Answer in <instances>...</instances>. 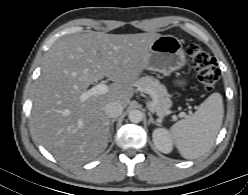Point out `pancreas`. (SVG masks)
<instances>
[{
    "mask_svg": "<svg viewBox=\"0 0 248 195\" xmlns=\"http://www.w3.org/2000/svg\"><path fill=\"white\" fill-rule=\"evenodd\" d=\"M134 85L152 98V102L149 105L152 113L159 117H163L168 113L169 108L172 106V101L165 86L159 80L151 76H145L138 79Z\"/></svg>",
    "mask_w": 248,
    "mask_h": 195,
    "instance_id": "cf45deb5",
    "label": "pancreas"
}]
</instances>
